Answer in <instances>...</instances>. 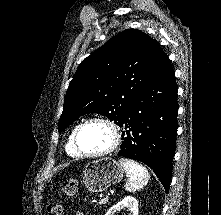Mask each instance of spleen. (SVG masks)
I'll return each instance as SVG.
<instances>
[{"mask_svg":"<svg viewBox=\"0 0 221 215\" xmlns=\"http://www.w3.org/2000/svg\"><path fill=\"white\" fill-rule=\"evenodd\" d=\"M119 163L124 168L127 176L129 177L125 184V189L128 192H135L146 186L150 175L144 166L138 162H135L134 160L127 158H120Z\"/></svg>","mask_w":221,"mask_h":215,"instance_id":"spleen-1","label":"spleen"}]
</instances>
